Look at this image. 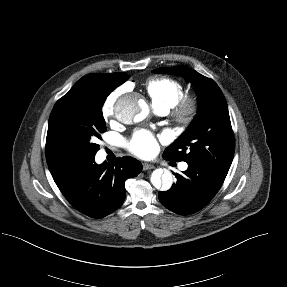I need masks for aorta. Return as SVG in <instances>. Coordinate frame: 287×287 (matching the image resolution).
Instances as JSON below:
<instances>
[{
  "label": "aorta",
  "instance_id": "obj_1",
  "mask_svg": "<svg viewBox=\"0 0 287 287\" xmlns=\"http://www.w3.org/2000/svg\"><path fill=\"white\" fill-rule=\"evenodd\" d=\"M148 106L138 94H128L121 97L115 106L116 118L125 124L140 122L146 118ZM150 181L158 189L167 191L173 184V175L169 170L156 169L153 171Z\"/></svg>",
  "mask_w": 287,
  "mask_h": 287
}]
</instances>
